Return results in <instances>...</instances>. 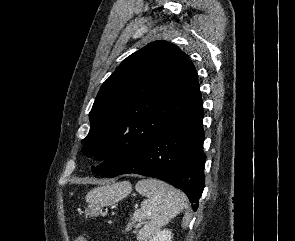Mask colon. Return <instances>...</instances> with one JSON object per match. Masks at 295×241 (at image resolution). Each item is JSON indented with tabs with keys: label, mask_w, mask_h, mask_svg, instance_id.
<instances>
[{
	"label": "colon",
	"mask_w": 295,
	"mask_h": 241,
	"mask_svg": "<svg viewBox=\"0 0 295 241\" xmlns=\"http://www.w3.org/2000/svg\"><path fill=\"white\" fill-rule=\"evenodd\" d=\"M75 241H88V240L83 237H78V238H76Z\"/></svg>",
	"instance_id": "colon-1"
}]
</instances>
